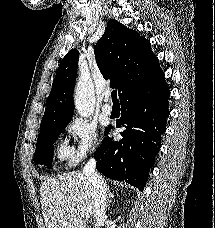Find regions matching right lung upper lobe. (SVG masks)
Returning a JSON list of instances; mask_svg holds the SVG:
<instances>
[{
    "mask_svg": "<svg viewBox=\"0 0 215 228\" xmlns=\"http://www.w3.org/2000/svg\"><path fill=\"white\" fill-rule=\"evenodd\" d=\"M94 53L103 77L112 80L111 86L118 89L120 100L132 83L163 74L150 42L115 19L108 21ZM78 59V50L72 49L60 62L41 126L72 119Z\"/></svg>",
    "mask_w": 215,
    "mask_h": 228,
    "instance_id": "right-lung-upper-lobe-1",
    "label": "right lung upper lobe"
}]
</instances>
